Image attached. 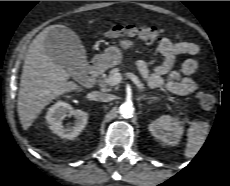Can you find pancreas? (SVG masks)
<instances>
[{"mask_svg": "<svg viewBox=\"0 0 230 186\" xmlns=\"http://www.w3.org/2000/svg\"><path fill=\"white\" fill-rule=\"evenodd\" d=\"M120 69L119 68H113L110 72L109 75L107 77H104L101 81H100V85L101 87L105 88L107 86H112L113 82H112V77L115 73H119ZM169 101L173 102V99L168 98Z\"/></svg>", "mask_w": 230, "mask_h": 186, "instance_id": "cf45deb5", "label": "pancreas"}]
</instances>
